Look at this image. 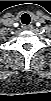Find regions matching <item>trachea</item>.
Here are the masks:
<instances>
[{
	"mask_svg": "<svg viewBox=\"0 0 51 101\" xmlns=\"http://www.w3.org/2000/svg\"><path fill=\"white\" fill-rule=\"evenodd\" d=\"M31 21V17L29 14L27 13H24L22 16H21V22L25 25H28Z\"/></svg>",
	"mask_w": 51,
	"mask_h": 101,
	"instance_id": "trachea-1",
	"label": "trachea"
}]
</instances>
